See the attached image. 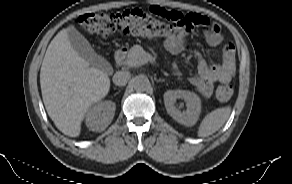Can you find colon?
Here are the masks:
<instances>
[{
    "mask_svg": "<svg viewBox=\"0 0 292 184\" xmlns=\"http://www.w3.org/2000/svg\"><path fill=\"white\" fill-rule=\"evenodd\" d=\"M87 32L100 36L138 35L149 38H167L176 29L188 30L193 21L188 15L178 11H168L153 6L149 11L131 9L116 13L90 12L77 19ZM233 94L229 85H221L216 90L220 101H228Z\"/></svg>",
    "mask_w": 292,
    "mask_h": 184,
    "instance_id": "1",
    "label": "colon"
}]
</instances>
